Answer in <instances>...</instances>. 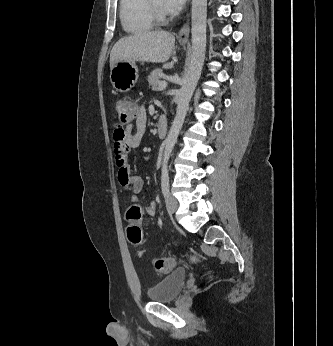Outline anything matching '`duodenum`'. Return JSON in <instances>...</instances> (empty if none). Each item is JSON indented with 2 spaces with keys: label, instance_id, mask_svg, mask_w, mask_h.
<instances>
[{
  "label": "duodenum",
  "instance_id": "obj_1",
  "mask_svg": "<svg viewBox=\"0 0 333 346\" xmlns=\"http://www.w3.org/2000/svg\"><path fill=\"white\" fill-rule=\"evenodd\" d=\"M168 132V122L164 117H160L157 122V133L160 138H164Z\"/></svg>",
  "mask_w": 333,
  "mask_h": 346
}]
</instances>
